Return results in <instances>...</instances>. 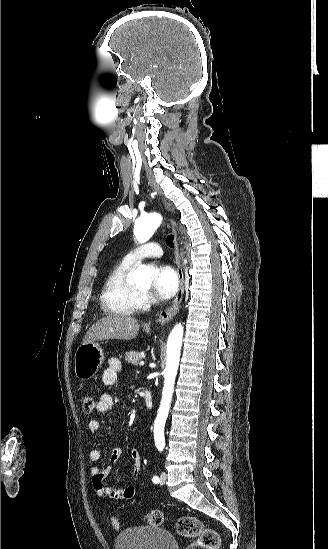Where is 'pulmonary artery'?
Wrapping results in <instances>:
<instances>
[{
	"instance_id": "1",
	"label": "pulmonary artery",
	"mask_w": 328,
	"mask_h": 549,
	"mask_svg": "<svg viewBox=\"0 0 328 549\" xmlns=\"http://www.w3.org/2000/svg\"><path fill=\"white\" fill-rule=\"evenodd\" d=\"M143 250L135 248L126 254V258L132 261L139 262L145 258L162 257L167 253V250L162 246H152L149 242Z\"/></svg>"
}]
</instances>
